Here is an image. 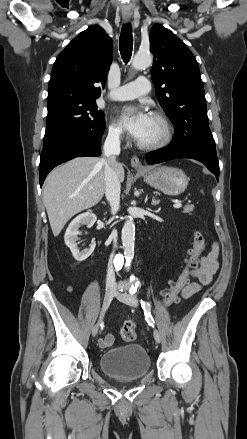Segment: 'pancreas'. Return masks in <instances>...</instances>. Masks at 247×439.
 Wrapping results in <instances>:
<instances>
[{
    "instance_id": "cf45deb5",
    "label": "pancreas",
    "mask_w": 247,
    "mask_h": 439,
    "mask_svg": "<svg viewBox=\"0 0 247 439\" xmlns=\"http://www.w3.org/2000/svg\"><path fill=\"white\" fill-rule=\"evenodd\" d=\"M193 210H194V205H186L184 207L183 213L191 214Z\"/></svg>"
}]
</instances>
